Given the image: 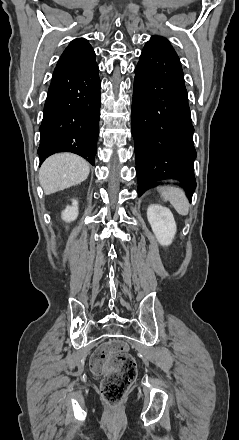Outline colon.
Segmentation results:
<instances>
[{
	"mask_svg": "<svg viewBox=\"0 0 239 440\" xmlns=\"http://www.w3.org/2000/svg\"><path fill=\"white\" fill-rule=\"evenodd\" d=\"M91 368L102 377V396L111 406L124 399L137 375L136 361L121 341H112L98 348L92 356Z\"/></svg>",
	"mask_w": 239,
	"mask_h": 440,
	"instance_id": "5ec220e1",
	"label": "colon"
}]
</instances>
